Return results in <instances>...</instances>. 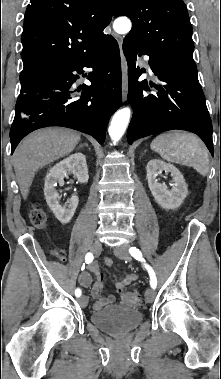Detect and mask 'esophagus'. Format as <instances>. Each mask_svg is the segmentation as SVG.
I'll use <instances>...</instances> for the list:
<instances>
[{
  "mask_svg": "<svg viewBox=\"0 0 221 379\" xmlns=\"http://www.w3.org/2000/svg\"><path fill=\"white\" fill-rule=\"evenodd\" d=\"M114 37L117 40L119 48H120L121 66H122V99H123V102H125L127 99V94H128V75H127V62L122 50L123 38L117 34H114Z\"/></svg>",
  "mask_w": 221,
  "mask_h": 379,
  "instance_id": "34e87169",
  "label": "esophagus"
}]
</instances>
